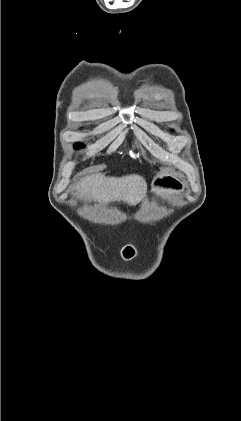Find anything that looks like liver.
<instances>
[{"mask_svg": "<svg viewBox=\"0 0 241 421\" xmlns=\"http://www.w3.org/2000/svg\"><path fill=\"white\" fill-rule=\"evenodd\" d=\"M80 197L87 201L108 203L123 201L129 205L139 203L147 190L146 181L139 175L121 178L105 177L102 174L87 176L76 186Z\"/></svg>", "mask_w": 241, "mask_h": 421, "instance_id": "6515ba94", "label": "liver"}]
</instances>
